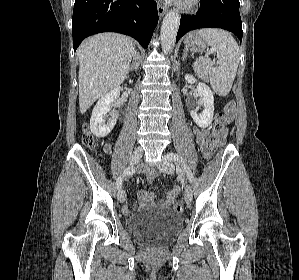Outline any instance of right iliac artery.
<instances>
[{
    "instance_id": "1",
    "label": "right iliac artery",
    "mask_w": 299,
    "mask_h": 280,
    "mask_svg": "<svg viewBox=\"0 0 299 280\" xmlns=\"http://www.w3.org/2000/svg\"><path fill=\"white\" fill-rule=\"evenodd\" d=\"M133 173H134V168H133V166H129V167H127V168L124 170L122 176H119L118 179H117V181H116V186H117V189H118V190H120L121 187H122L123 177H125V176H130V175H132Z\"/></svg>"
}]
</instances>
